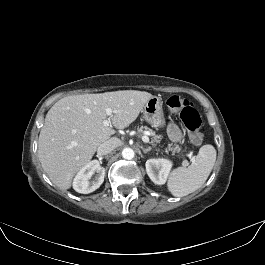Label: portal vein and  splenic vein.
<instances>
[{
  "label": "portal vein and splenic vein",
  "mask_w": 265,
  "mask_h": 265,
  "mask_svg": "<svg viewBox=\"0 0 265 265\" xmlns=\"http://www.w3.org/2000/svg\"><path fill=\"white\" fill-rule=\"evenodd\" d=\"M112 113H113L112 109L108 108V109L106 110V114H107V116H111ZM110 123H111V122H110L109 119H105V120L103 121L104 126H109ZM147 135H149V132H145V135L142 136V141L145 142V143H149V137H148ZM185 164L188 165L187 161H185Z\"/></svg>",
  "instance_id": "obj_1"
}]
</instances>
